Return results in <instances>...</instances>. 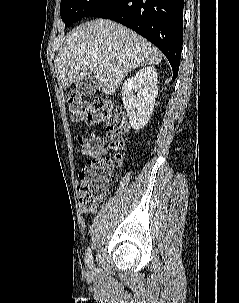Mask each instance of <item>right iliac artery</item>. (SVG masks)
<instances>
[{
  "instance_id": "82829eb1",
  "label": "right iliac artery",
  "mask_w": 239,
  "mask_h": 303,
  "mask_svg": "<svg viewBox=\"0 0 239 303\" xmlns=\"http://www.w3.org/2000/svg\"><path fill=\"white\" fill-rule=\"evenodd\" d=\"M85 262L90 269L93 268V258H92V252H91L90 248H88L86 251Z\"/></svg>"
}]
</instances>
